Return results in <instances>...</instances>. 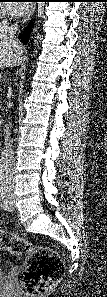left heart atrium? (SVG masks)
I'll return each mask as SVG.
<instances>
[{"instance_id":"1","label":"left heart atrium","mask_w":107,"mask_h":297,"mask_svg":"<svg viewBox=\"0 0 107 297\" xmlns=\"http://www.w3.org/2000/svg\"><path fill=\"white\" fill-rule=\"evenodd\" d=\"M6 9L11 15L19 16L25 13L27 6L24 3H9Z\"/></svg>"}]
</instances>
